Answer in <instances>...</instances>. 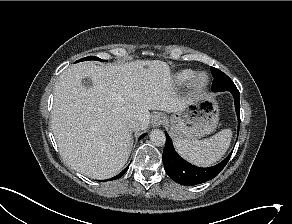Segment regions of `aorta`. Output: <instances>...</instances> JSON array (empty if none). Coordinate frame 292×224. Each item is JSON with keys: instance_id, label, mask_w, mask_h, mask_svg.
Returning a JSON list of instances; mask_svg holds the SVG:
<instances>
[{"instance_id": "762f6f07", "label": "aorta", "mask_w": 292, "mask_h": 224, "mask_svg": "<svg viewBox=\"0 0 292 224\" xmlns=\"http://www.w3.org/2000/svg\"><path fill=\"white\" fill-rule=\"evenodd\" d=\"M150 140L156 146H163L166 142V136L162 130L155 129L150 133Z\"/></svg>"}]
</instances>
